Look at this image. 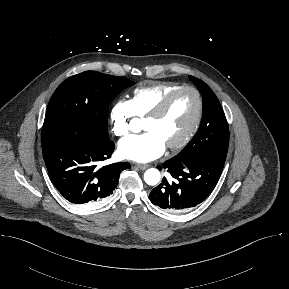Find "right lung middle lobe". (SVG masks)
<instances>
[{"label": "right lung middle lobe", "instance_id": "obj_1", "mask_svg": "<svg viewBox=\"0 0 289 289\" xmlns=\"http://www.w3.org/2000/svg\"><path fill=\"white\" fill-rule=\"evenodd\" d=\"M134 84L123 77L85 71L63 81L52 95L42 127V142L78 133L99 142L109 141L108 105Z\"/></svg>", "mask_w": 289, "mask_h": 289}]
</instances>
